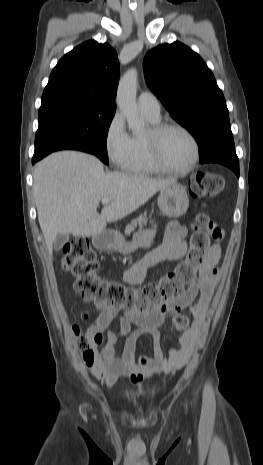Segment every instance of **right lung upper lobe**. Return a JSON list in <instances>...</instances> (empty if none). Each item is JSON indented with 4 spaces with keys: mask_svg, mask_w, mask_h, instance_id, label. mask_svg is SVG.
I'll use <instances>...</instances> for the list:
<instances>
[{
    "mask_svg": "<svg viewBox=\"0 0 263 465\" xmlns=\"http://www.w3.org/2000/svg\"><path fill=\"white\" fill-rule=\"evenodd\" d=\"M118 56L107 43L89 40L67 53L52 70L42 103L77 100L116 108Z\"/></svg>",
    "mask_w": 263,
    "mask_h": 465,
    "instance_id": "1",
    "label": "right lung upper lobe"
}]
</instances>
